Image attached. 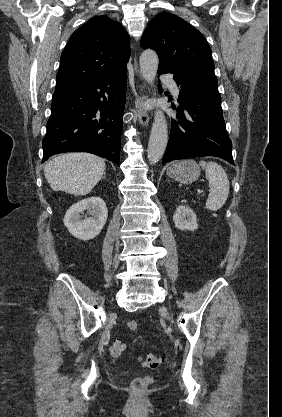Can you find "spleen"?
Here are the masks:
<instances>
[{
    "instance_id": "spleen-1",
    "label": "spleen",
    "mask_w": 282,
    "mask_h": 417,
    "mask_svg": "<svg viewBox=\"0 0 282 417\" xmlns=\"http://www.w3.org/2000/svg\"><path fill=\"white\" fill-rule=\"evenodd\" d=\"M200 166L205 168L206 178L209 180L210 192L206 200L205 209L209 211H218L222 209L223 204H225L228 194H229V180L228 176L218 164V162H205V160H199Z\"/></svg>"
}]
</instances>
